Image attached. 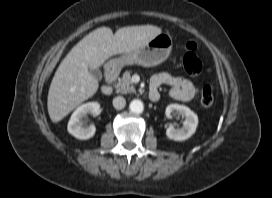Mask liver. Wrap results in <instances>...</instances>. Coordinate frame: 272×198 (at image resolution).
I'll return each instance as SVG.
<instances>
[{"label": "liver", "instance_id": "obj_1", "mask_svg": "<svg viewBox=\"0 0 272 198\" xmlns=\"http://www.w3.org/2000/svg\"><path fill=\"white\" fill-rule=\"evenodd\" d=\"M161 33L159 27L141 25L120 28L115 34L100 27L87 34L61 61L52 79L47 101L51 121L58 123L97 92L98 80L89 69H98L113 55L141 48Z\"/></svg>", "mask_w": 272, "mask_h": 198}]
</instances>
